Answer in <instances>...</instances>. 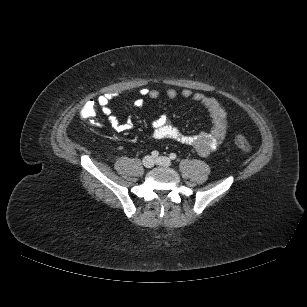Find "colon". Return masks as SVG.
Listing matches in <instances>:
<instances>
[{
	"instance_id": "obj_1",
	"label": "colon",
	"mask_w": 307,
	"mask_h": 307,
	"mask_svg": "<svg viewBox=\"0 0 307 307\" xmlns=\"http://www.w3.org/2000/svg\"><path fill=\"white\" fill-rule=\"evenodd\" d=\"M81 116L87 121H93L97 114V103L94 100L87 101L81 108ZM234 143L242 153H250L252 148L248 140L242 134H235Z\"/></svg>"
}]
</instances>
